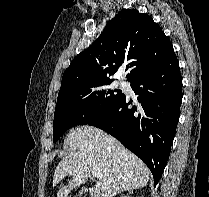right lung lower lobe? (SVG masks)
<instances>
[{
	"instance_id": "obj_1",
	"label": "right lung lower lobe",
	"mask_w": 209,
	"mask_h": 197,
	"mask_svg": "<svg viewBox=\"0 0 209 197\" xmlns=\"http://www.w3.org/2000/svg\"><path fill=\"white\" fill-rule=\"evenodd\" d=\"M138 107L125 95L88 124L103 129L142 159L154 186L160 180L171 150L182 103V78L173 52L163 63L131 81Z\"/></svg>"
}]
</instances>
